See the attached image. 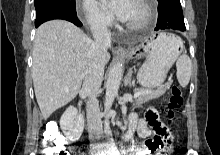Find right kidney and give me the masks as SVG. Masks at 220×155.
<instances>
[{
	"mask_svg": "<svg viewBox=\"0 0 220 155\" xmlns=\"http://www.w3.org/2000/svg\"><path fill=\"white\" fill-rule=\"evenodd\" d=\"M60 127L69 139H78L84 129V118L77 109L70 106L60 119Z\"/></svg>",
	"mask_w": 220,
	"mask_h": 155,
	"instance_id": "ca27d5eb",
	"label": "right kidney"
}]
</instances>
